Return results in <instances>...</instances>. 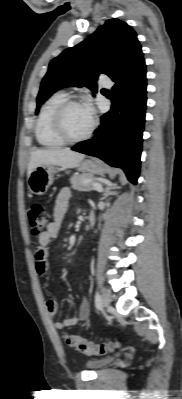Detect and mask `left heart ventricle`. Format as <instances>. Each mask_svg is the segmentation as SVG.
<instances>
[{"label": "left heart ventricle", "instance_id": "obj_1", "mask_svg": "<svg viewBox=\"0 0 182 399\" xmlns=\"http://www.w3.org/2000/svg\"><path fill=\"white\" fill-rule=\"evenodd\" d=\"M91 115L84 105H74L68 108L64 115V125L72 137L82 136L89 129Z\"/></svg>", "mask_w": 182, "mask_h": 399}]
</instances>
